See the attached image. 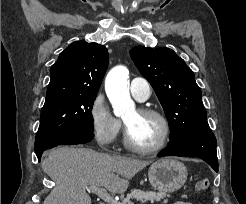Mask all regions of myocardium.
<instances>
[{
	"label": "myocardium",
	"instance_id": "myocardium-1",
	"mask_svg": "<svg viewBox=\"0 0 246 204\" xmlns=\"http://www.w3.org/2000/svg\"><path fill=\"white\" fill-rule=\"evenodd\" d=\"M137 111L143 115L155 116L161 121V123L163 125V133H162L161 139L159 140V142L156 145L151 146V147L138 146L132 142L130 135H129L128 127L125 123V130H124V144H125V146L129 150L136 152V153H139V154H153V153L159 152L160 150H162L166 146V144L168 143L169 138H170L171 125H170L168 118L166 117V115L164 113H162L161 111L154 109V108L144 107V108H139Z\"/></svg>",
	"mask_w": 246,
	"mask_h": 204
}]
</instances>
